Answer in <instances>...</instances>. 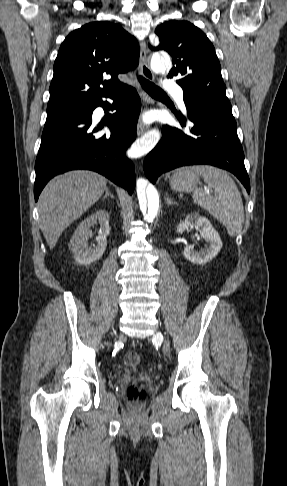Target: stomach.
<instances>
[{
  "mask_svg": "<svg viewBox=\"0 0 287 486\" xmlns=\"http://www.w3.org/2000/svg\"><path fill=\"white\" fill-rule=\"evenodd\" d=\"M200 182V174L194 167L181 168L174 172L170 178V187L174 191L192 192Z\"/></svg>",
  "mask_w": 287,
  "mask_h": 486,
  "instance_id": "0dacf381",
  "label": "stomach"
}]
</instances>
